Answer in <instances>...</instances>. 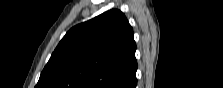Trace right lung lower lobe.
<instances>
[{
	"label": "right lung lower lobe",
	"mask_w": 223,
	"mask_h": 88,
	"mask_svg": "<svg viewBox=\"0 0 223 88\" xmlns=\"http://www.w3.org/2000/svg\"><path fill=\"white\" fill-rule=\"evenodd\" d=\"M136 77V76H135ZM137 85V79L134 78V81L132 82L131 88H135Z\"/></svg>",
	"instance_id": "right-lung-lower-lobe-1"
}]
</instances>
